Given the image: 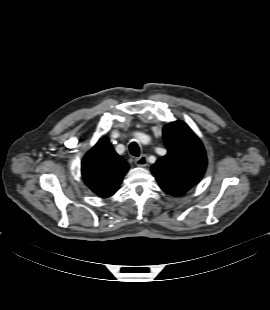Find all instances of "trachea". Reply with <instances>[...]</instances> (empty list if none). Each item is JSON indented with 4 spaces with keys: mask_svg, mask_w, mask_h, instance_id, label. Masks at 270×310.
<instances>
[{
    "mask_svg": "<svg viewBox=\"0 0 270 310\" xmlns=\"http://www.w3.org/2000/svg\"><path fill=\"white\" fill-rule=\"evenodd\" d=\"M131 155L138 157L140 155V148L136 142H132L129 145Z\"/></svg>",
    "mask_w": 270,
    "mask_h": 310,
    "instance_id": "obj_1",
    "label": "trachea"
}]
</instances>
